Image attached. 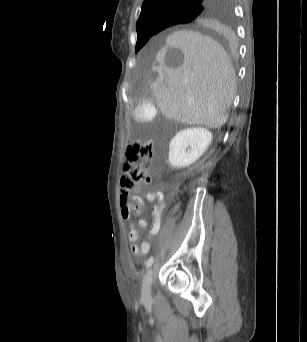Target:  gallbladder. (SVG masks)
<instances>
[{
  "mask_svg": "<svg viewBox=\"0 0 307 342\" xmlns=\"http://www.w3.org/2000/svg\"><path fill=\"white\" fill-rule=\"evenodd\" d=\"M134 118L138 123H149L153 116L155 105L153 103H136L134 105Z\"/></svg>",
  "mask_w": 307,
  "mask_h": 342,
  "instance_id": "bac80fb5",
  "label": "gallbladder"
}]
</instances>
